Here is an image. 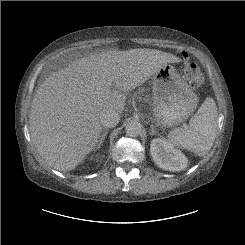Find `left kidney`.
Returning <instances> with one entry per match:
<instances>
[{"label":"left kidney","instance_id":"left-kidney-1","mask_svg":"<svg viewBox=\"0 0 245 245\" xmlns=\"http://www.w3.org/2000/svg\"><path fill=\"white\" fill-rule=\"evenodd\" d=\"M150 151L154 162L164 170L182 171L187 167L186 156L165 139H153Z\"/></svg>","mask_w":245,"mask_h":245}]
</instances>
